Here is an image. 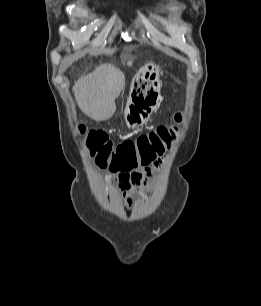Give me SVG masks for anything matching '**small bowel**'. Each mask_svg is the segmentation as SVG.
Masks as SVG:
<instances>
[{
	"mask_svg": "<svg viewBox=\"0 0 261 306\" xmlns=\"http://www.w3.org/2000/svg\"><path fill=\"white\" fill-rule=\"evenodd\" d=\"M158 159L152 166L140 167L132 171H112L111 179L116 183L127 207H131L135 197L143 196L152 186V176L155 168L162 165Z\"/></svg>",
	"mask_w": 261,
	"mask_h": 306,
	"instance_id": "1",
	"label": "small bowel"
}]
</instances>
